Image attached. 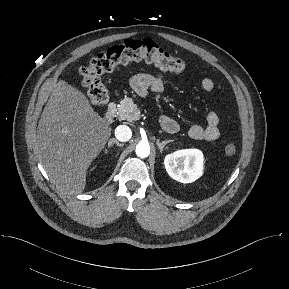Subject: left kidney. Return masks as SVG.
Here are the masks:
<instances>
[{"label":"left kidney","mask_w":289,"mask_h":289,"mask_svg":"<svg viewBox=\"0 0 289 289\" xmlns=\"http://www.w3.org/2000/svg\"><path fill=\"white\" fill-rule=\"evenodd\" d=\"M203 160L200 150L184 149L168 154L164 165L171 178L181 183H191L203 174Z\"/></svg>","instance_id":"5707ae66"}]
</instances>
